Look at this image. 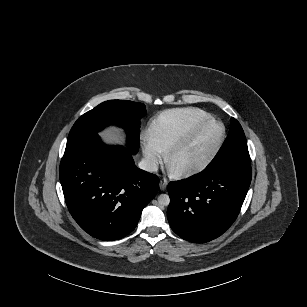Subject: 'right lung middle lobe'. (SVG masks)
Instances as JSON below:
<instances>
[{
  "label": "right lung middle lobe",
  "instance_id": "right-lung-middle-lobe-1",
  "mask_svg": "<svg viewBox=\"0 0 307 307\" xmlns=\"http://www.w3.org/2000/svg\"><path fill=\"white\" fill-rule=\"evenodd\" d=\"M146 115L145 105L127 100L105 101L82 115L73 125L67 145L94 134L114 120H124L128 129V146L135 154L139 149L140 118Z\"/></svg>",
  "mask_w": 307,
  "mask_h": 307
}]
</instances>
